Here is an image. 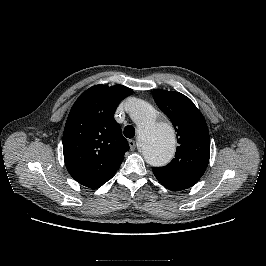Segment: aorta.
<instances>
[{
  "instance_id": "762f6f07",
  "label": "aorta",
  "mask_w": 266,
  "mask_h": 266,
  "mask_svg": "<svg viewBox=\"0 0 266 266\" xmlns=\"http://www.w3.org/2000/svg\"><path fill=\"white\" fill-rule=\"evenodd\" d=\"M130 117L138 127L139 145L145 160L153 166L168 163L175 152L172 126L158 119L157 111L147 102L132 99Z\"/></svg>"
}]
</instances>
